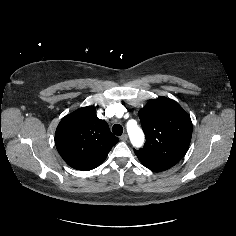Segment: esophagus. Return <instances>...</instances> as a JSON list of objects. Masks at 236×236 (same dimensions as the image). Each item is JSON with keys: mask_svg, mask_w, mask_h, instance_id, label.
Wrapping results in <instances>:
<instances>
[{"mask_svg": "<svg viewBox=\"0 0 236 236\" xmlns=\"http://www.w3.org/2000/svg\"><path fill=\"white\" fill-rule=\"evenodd\" d=\"M127 139H128L127 134H123V135L120 136L121 141H127Z\"/></svg>", "mask_w": 236, "mask_h": 236, "instance_id": "esophagus-1", "label": "esophagus"}]
</instances>
